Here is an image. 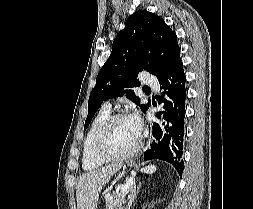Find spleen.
<instances>
[{"label": "spleen", "mask_w": 253, "mask_h": 209, "mask_svg": "<svg viewBox=\"0 0 253 209\" xmlns=\"http://www.w3.org/2000/svg\"><path fill=\"white\" fill-rule=\"evenodd\" d=\"M143 171L147 174H152L156 171V166L155 165L147 166L146 168L143 169Z\"/></svg>", "instance_id": "obj_1"}]
</instances>
